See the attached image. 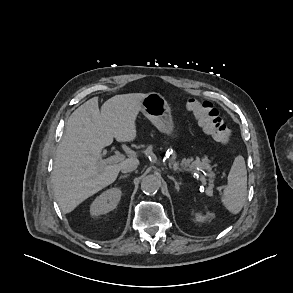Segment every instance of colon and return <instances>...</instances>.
<instances>
[{
	"mask_svg": "<svg viewBox=\"0 0 293 293\" xmlns=\"http://www.w3.org/2000/svg\"><path fill=\"white\" fill-rule=\"evenodd\" d=\"M186 107L202 129L216 142L227 143L230 140L232 131L211 102L190 98Z\"/></svg>",
	"mask_w": 293,
	"mask_h": 293,
	"instance_id": "5ec220e1",
	"label": "colon"
}]
</instances>
